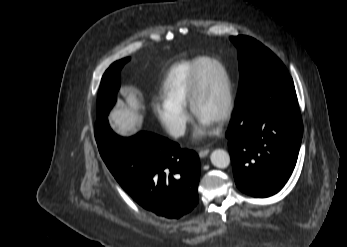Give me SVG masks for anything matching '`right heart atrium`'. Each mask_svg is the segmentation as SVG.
Returning <instances> with one entry per match:
<instances>
[{
  "instance_id": "right-heart-atrium-1",
  "label": "right heart atrium",
  "mask_w": 347,
  "mask_h": 247,
  "mask_svg": "<svg viewBox=\"0 0 347 247\" xmlns=\"http://www.w3.org/2000/svg\"><path fill=\"white\" fill-rule=\"evenodd\" d=\"M155 114L167 132L175 137H182L188 127L190 115L185 106L160 100L154 104Z\"/></svg>"
}]
</instances>
